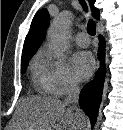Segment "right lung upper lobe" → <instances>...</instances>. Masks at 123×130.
I'll list each match as a JSON object with an SVG mask.
<instances>
[{"label": "right lung upper lobe", "instance_id": "obj_1", "mask_svg": "<svg viewBox=\"0 0 123 130\" xmlns=\"http://www.w3.org/2000/svg\"><path fill=\"white\" fill-rule=\"evenodd\" d=\"M92 14L99 18V10L94 7L95 0H88ZM50 22V16L47 9L43 8L34 16L29 33L26 36L22 56L34 54L46 36V30Z\"/></svg>", "mask_w": 123, "mask_h": 130}]
</instances>
